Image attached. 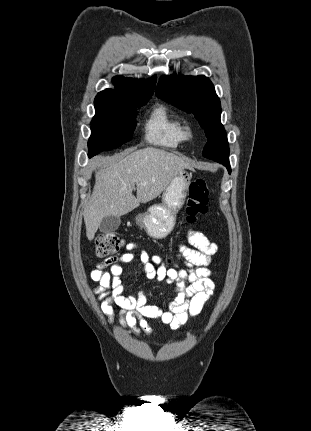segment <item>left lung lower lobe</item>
<instances>
[{"mask_svg": "<svg viewBox=\"0 0 311 431\" xmlns=\"http://www.w3.org/2000/svg\"><path fill=\"white\" fill-rule=\"evenodd\" d=\"M220 163H222L223 165H225L226 168L228 169L229 173H231L230 163H229V156L222 158L221 161H220Z\"/></svg>", "mask_w": 311, "mask_h": 431, "instance_id": "1", "label": "left lung lower lobe"}]
</instances>
